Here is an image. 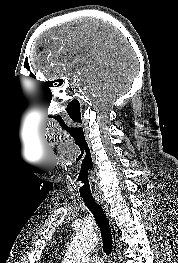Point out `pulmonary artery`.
<instances>
[{"instance_id": "pulmonary-artery-1", "label": "pulmonary artery", "mask_w": 178, "mask_h": 263, "mask_svg": "<svg viewBox=\"0 0 178 263\" xmlns=\"http://www.w3.org/2000/svg\"><path fill=\"white\" fill-rule=\"evenodd\" d=\"M86 263H104L100 256L92 255L87 260Z\"/></svg>"}]
</instances>
